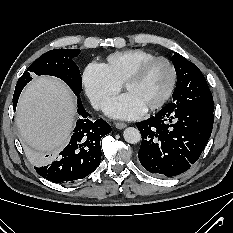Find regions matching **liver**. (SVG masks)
Instances as JSON below:
<instances>
[{
    "label": "liver",
    "mask_w": 233,
    "mask_h": 233,
    "mask_svg": "<svg viewBox=\"0 0 233 233\" xmlns=\"http://www.w3.org/2000/svg\"><path fill=\"white\" fill-rule=\"evenodd\" d=\"M76 105L69 88L60 80L41 76L30 82L19 99L16 122L23 140L37 154L58 152L66 145L75 122Z\"/></svg>",
    "instance_id": "liver-1"
}]
</instances>
